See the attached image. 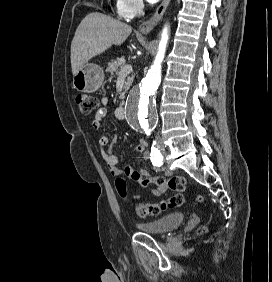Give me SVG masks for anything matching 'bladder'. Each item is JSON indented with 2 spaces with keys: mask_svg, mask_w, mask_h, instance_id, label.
Here are the masks:
<instances>
[{
  "mask_svg": "<svg viewBox=\"0 0 272 282\" xmlns=\"http://www.w3.org/2000/svg\"><path fill=\"white\" fill-rule=\"evenodd\" d=\"M184 219H185V214L183 212H175L163 216L158 220L137 222L136 226L142 232L158 234L175 229L184 221Z\"/></svg>",
  "mask_w": 272,
  "mask_h": 282,
  "instance_id": "1",
  "label": "bladder"
}]
</instances>
